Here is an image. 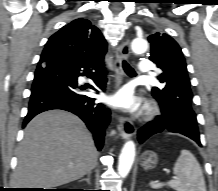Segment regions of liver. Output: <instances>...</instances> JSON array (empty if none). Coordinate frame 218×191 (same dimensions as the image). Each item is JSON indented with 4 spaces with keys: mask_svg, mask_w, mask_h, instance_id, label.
Instances as JSON below:
<instances>
[{
    "mask_svg": "<svg viewBox=\"0 0 218 191\" xmlns=\"http://www.w3.org/2000/svg\"><path fill=\"white\" fill-rule=\"evenodd\" d=\"M97 157L93 138L77 116L61 110L46 111L25 128L14 182L23 188L58 187L91 172Z\"/></svg>",
    "mask_w": 218,
    "mask_h": 191,
    "instance_id": "1",
    "label": "liver"
}]
</instances>
